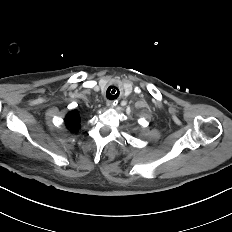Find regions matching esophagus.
Returning a JSON list of instances; mask_svg holds the SVG:
<instances>
[{"label": "esophagus", "instance_id": "esophagus-1", "mask_svg": "<svg viewBox=\"0 0 232 232\" xmlns=\"http://www.w3.org/2000/svg\"><path fill=\"white\" fill-rule=\"evenodd\" d=\"M107 106L108 107H113L114 106V102L113 101H108L107 102Z\"/></svg>", "mask_w": 232, "mask_h": 232}]
</instances>
